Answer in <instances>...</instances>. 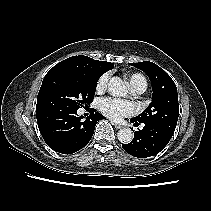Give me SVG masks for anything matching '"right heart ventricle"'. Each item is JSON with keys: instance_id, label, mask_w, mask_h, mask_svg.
Returning a JSON list of instances; mask_svg holds the SVG:
<instances>
[{"instance_id": "right-heart-ventricle-1", "label": "right heart ventricle", "mask_w": 211, "mask_h": 211, "mask_svg": "<svg viewBox=\"0 0 211 211\" xmlns=\"http://www.w3.org/2000/svg\"><path fill=\"white\" fill-rule=\"evenodd\" d=\"M129 84L132 88L142 87L146 89L147 81L145 77L139 73H133L128 76Z\"/></svg>"}]
</instances>
